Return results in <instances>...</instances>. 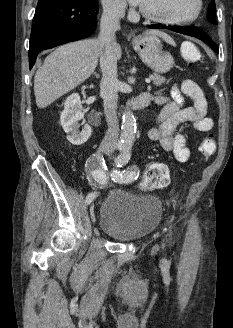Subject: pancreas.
<instances>
[{"label": "pancreas", "instance_id": "cf45deb5", "mask_svg": "<svg viewBox=\"0 0 233 328\" xmlns=\"http://www.w3.org/2000/svg\"><path fill=\"white\" fill-rule=\"evenodd\" d=\"M150 79L152 80V83L155 86H161L166 81V79L163 76H160L156 73L150 75Z\"/></svg>", "mask_w": 233, "mask_h": 328}]
</instances>
